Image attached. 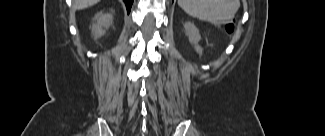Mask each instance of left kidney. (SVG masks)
Returning a JSON list of instances; mask_svg holds the SVG:
<instances>
[{"instance_id":"left-kidney-1","label":"left kidney","mask_w":325,"mask_h":136,"mask_svg":"<svg viewBox=\"0 0 325 136\" xmlns=\"http://www.w3.org/2000/svg\"><path fill=\"white\" fill-rule=\"evenodd\" d=\"M185 33L189 38V42L194 44L195 50L201 54L202 48L198 45V42L201 40L200 33L198 29L195 27V25L191 22H186L184 24Z\"/></svg>"}]
</instances>
